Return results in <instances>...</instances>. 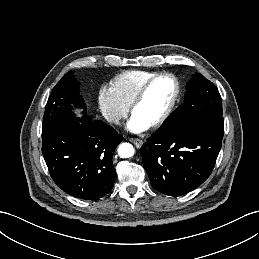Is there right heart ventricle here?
<instances>
[{"instance_id":"1","label":"right heart ventricle","mask_w":259,"mask_h":259,"mask_svg":"<svg viewBox=\"0 0 259 259\" xmlns=\"http://www.w3.org/2000/svg\"><path fill=\"white\" fill-rule=\"evenodd\" d=\"M155 74L142 70L125 71L113 78L111 89L127 106H130L141 86Z\"/></svg>"}]
</instances>
